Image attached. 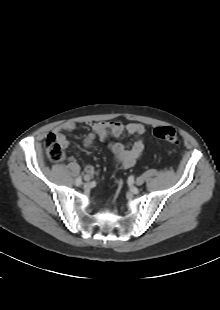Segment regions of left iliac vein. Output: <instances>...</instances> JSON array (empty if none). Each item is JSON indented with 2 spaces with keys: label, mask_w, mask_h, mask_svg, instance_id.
Listing matches in <instances>:
<instances>
[{
  "label": "left iliac vein",
  "mask_w": 220,
  "mask_h": 310,
  "mask_svg": "<svg viewBox=\"0 0 220 310\" xmlns=\"http://www.w3.org/2000/svg\"><path fill=\"white\" fill-rule=\"evenodd\" d=\"M143 182H144L143 178H142V177H138V178L136 179V181H135V184L138 185V186H140V185L143 184Z\"/></svg>",
  "instance_id": "1"
}]
</instances>
